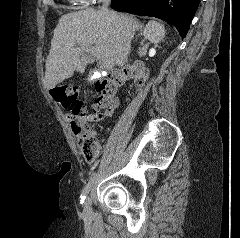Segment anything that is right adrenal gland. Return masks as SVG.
I'll list each match as a JSON object with an SVG mask.
<instances>
[{"label":"right adrenal gland","mask_w":240,"mask_h":238,"mask_svg":"<svg viewBox=\"0 0 240 238\" xmlns=\"http://www.w3.org/2000/svg\"><path fill=\"white\" fill-rule=\"evenodd\" d=\"M141 29H142V26L139 28V30L142 31ZM140 35H141V33H140Z\"/></svg>","instance_id":"2a0ac1e0"}]
</instances>
